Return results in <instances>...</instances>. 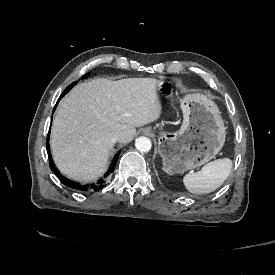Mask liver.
I'll list each match as a JSON object with an SVG mask.
<instances>
[{
	"label": "liver",
	"instance_id": "liver-1",
	"mask_svg": "<svg viewBox=\"0 0 275 275\" xmlns=\"http://www.w3.org/2000/svg\"><path fill=\"white\" fill-rule=\"evenodd\" d=\"M159 86L150 78L77 85L60 102L52 126L51 149L60 171L83 182L101 177L114 147L111 135L122 132L119 143H128L136 127L161 117Z\"/></svg>",
	"mask_w": 275,
	"mask_h": 275
}]
</instances>
